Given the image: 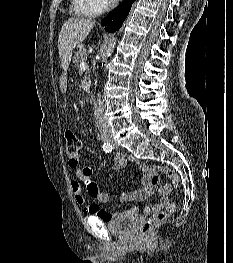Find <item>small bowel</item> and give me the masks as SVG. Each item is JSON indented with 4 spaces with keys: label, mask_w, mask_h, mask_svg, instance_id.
Returning <instances> with one entry per match:
<instances>
[{
    "label": "small bowel",
    "mask_w": 233,
    "mask_h": 263,
    "mask_svg": "<svg viewBox=\"0 0 233 263\" xmlns=\"http://www.w3.org/2000/svg\"><path fill=\"white\" fill-rule=\"evenodd\" d=\"M128 162L134 164L140 174V188L132 192H123L121 195V200L123 202L129 201H143L146 198L150 197L155 190V187L151 181V171L148 166L141 160L133 157L127 156L125 154H117L112 160V169L118 171L122 169ZM77 178L84 184L85 190L88 195L98 203H107L110 199V195L104 191H101L97 183L91 177V168L87 165H84L77 169L76 171ZM71 189L74 195L76 202L84 206V211L89 213L97 218L101 219L104 222H109L113 220L117 215L110 214L109 212L102 209L98 204H85V198L82 192V186L79 181H73L71 183ZM112 190H118L117 187H112ZM159 194L162 195L161 199L157 201L152 209L149 207H143V212L148 214L151 210L159 211L163 209L169 202L168 194L172 192V186L166 184L159 188ZM136 209H130L129 211L135 212Z\"/></svg>",
    "instance_id": "c3829d8e"
}]
</instances>
